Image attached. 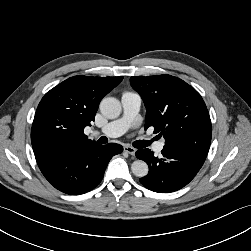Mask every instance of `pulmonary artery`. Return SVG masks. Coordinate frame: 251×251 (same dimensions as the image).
<instances>
[{
    "label": "pulmonary artery",
    "mask_w": 251,
    "mask_h": 251,
    "mask_svg": "<svg viewBox=\"0 0 251 251\" xmlns=\"http://www.w3.org/2000/svg\"><path fill=\"white\" fill-rule=\"evenodd\" d=\"M123 115L121 118L114 120L105 125L100 130H95L92 135H102L106 137H117L127 131V129L135 122L141 106V97L134 92H124L121 97ZM165 145L164 140L155 142L153 149L160 153Z\"/></svg>",
    "instance_id": "e3ab8cb5"
}]
</instances>
